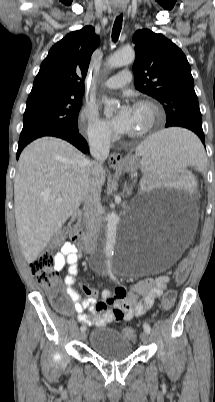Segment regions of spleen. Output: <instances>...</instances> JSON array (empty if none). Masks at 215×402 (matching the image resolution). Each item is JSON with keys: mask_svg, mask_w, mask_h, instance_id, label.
I'll return each mask as SVG.
<instances>
[{"mask_svg": "<svg viewBox=\"0 0 215 402\" xmlns=\"http://www.w3.org/2000/svg\"><path fill=\"white\" fill-rule=\"evenodd\" d=\"M137 153L143 154V173L146 169H185L191 164L201 167L205 160L200 138L192 128H167L141 143Z\"/></svg>", "mask_w": 215, "mask_h": 402, "instance_id": "3e777b00", "label": "spleen"}]
</instances>
